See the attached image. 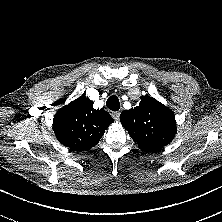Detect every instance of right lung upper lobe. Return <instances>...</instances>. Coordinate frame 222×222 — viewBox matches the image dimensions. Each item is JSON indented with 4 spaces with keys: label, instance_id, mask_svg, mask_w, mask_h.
<instances>
[{
    "label": "right lung upper lobe",
    "instance_id": "1",
    "mask_svg": "<svg viewBox=\"0 0 222 222\" xmlns=\"http://www.w3.org/2000/svg\"><path fill=\"white\" fill-rule=\"evenodd\" d=\"M112 122L107 111L94 109L93 101L82 95L57 111L53 130L58 141L71 150H89Z\"/></svg>",
    "mask_w": 222,
    "mask_h": 222
}]
</instances>
